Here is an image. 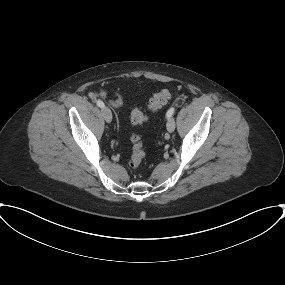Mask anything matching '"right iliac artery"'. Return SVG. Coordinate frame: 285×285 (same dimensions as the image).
<instances>
[{"mask_svg":"<svg viewBox=\"0 0 285 285\" xmlns=\"http://www.w3.org/2000/svg\"><path fill=\"white\" fill-rule=\"evenodd\" d=\"M97 105H98L99 107H101V108L104 107V103H103L101 100H98V101H97Z\"/></svg>","mask_w":285,"mask_h":285,"instance_id":"1","label":"right iliac artery"}]
</instances>
